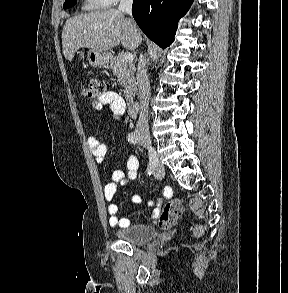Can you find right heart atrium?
I'll return each mask as SVG.
<instances>
[{
    "instance_id": "right-heart-atrium-1",
    "label": "right heart atrium",
    "mask_w": 288,
    "mask_h": 293,
    "mask_svg": "<svg viewBox=\"0 0 288 293\" xmlns=\"http://www.w3.org/2000/svg\"><path fill=\"white\" fill-rule=\"evenodd\" d=\"M106 1L109 3V5H113L118 3L120 0H106Z\"/></svg>"
}]
</instances>
